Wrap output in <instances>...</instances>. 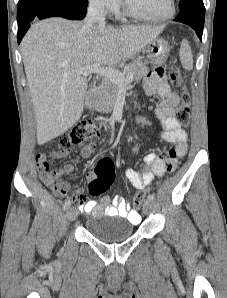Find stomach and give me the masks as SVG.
<instances>
[{"mask_svg": "<svg viewBox=\"0 0 227 298\" xmlns=\"http://www.w3.org/2000/svg\"><path fill=\"white\" fill-rule=\"evenodd\" d=\"M143 51L147 54V57L150 60L151 64H164L168 58L170 46L165 39L158 37L148 43L143 48Z\"/></svg>", "mask_w": 227, "mask_h": 298, "instance_id": "0dacf381", "label": "stomach"}]
</instances>
